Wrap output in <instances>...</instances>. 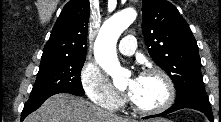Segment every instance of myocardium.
I'll use <instances>...</instances> for the list:
<instances>
[{"instance_id": "obj_1", "label": "myocardium", "mask_w": 221, "mask_h": 122, "mask_svg": "<svg viewBox=\"0 0 221 122\" xmlns=\"http://www.w3.org/2000/svg\"><path fill=\"white\" fill-rule=\"evenodd\" d=\"M147 75H156L158 76L164 83L166 88V97L162 104H160L157 107L154 108H143L138 106L130 97V95L127 96V102L131 109L141 115H156L159 113H162L166 111L168 108L171 107L175 100V86L170 78V76L162 69L157 67L147 68L143 70L140 74V76H147Z\"/></svg>"}]
</instances>
